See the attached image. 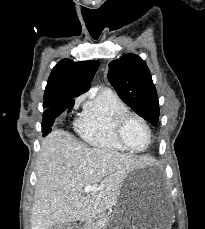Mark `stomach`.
<instances>
[{"label": "stomach", "instance_id": "obj_1", "mask_svg": "<svg viewBox=\"0 0 205 229\" xmlns=\"http://www.w3.org/2000/svg\"><path fill=\"white\" fill-rule=\"evenodd\" d=\"M173 221V208L167 201L138 193L127 179L105 229H170Z\"/></svg>", "mask_w": 205, "mask_h": 229}]
</instances>
